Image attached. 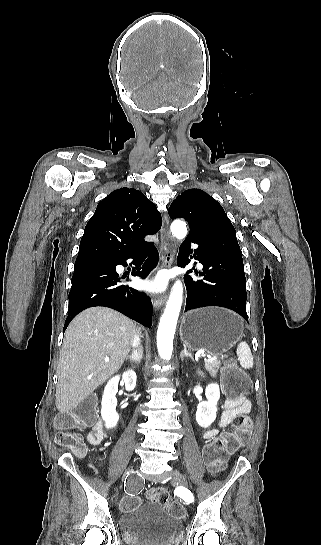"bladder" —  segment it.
<instances>
[{
    "instance_id": "obj_1",
    "label": "bladder",
    "mask_w": 321,
    "mask_h": 545,
    "mask_svg": "<svg viewBox=\"0 0 321 545\" xmlns=\"http://www.w3.org/2000/svg\"><path fill=\"white\" fill-rule=\"evenodd\" d=\"M120 533L129 545H173L182 536V522L157 502H149L119 517Z\"/></svg>"
}]
</instances>
